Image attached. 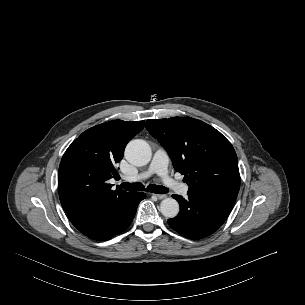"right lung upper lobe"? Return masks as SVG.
Segmentation results:
<instances>
[{
    "mask_svg": "<svg viewBox=\"0 0 305 305\" xmlns=\"http://www.w3.org/2000/svg\"><path fill=\"white\" fill-rule=\"evenodd\" d=\"M144 121L114 120L94 126L75 139L64 153L58 172L60 202L68 217L105 206L129 192L111 190L116 164Z\"/></svg>",
    "mask_w": 305,
    "mask_h": 305,
    "instance_id": "right-lung-upper-lobe-1",
    "label": "right lung upper lobe"
}]
</instances>
